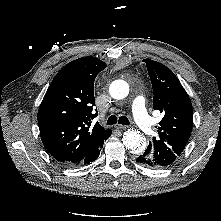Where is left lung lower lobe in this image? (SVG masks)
I'll return each instance as SVG.
<instances>
[{"mask_svg":"<svg viewBox=\"0 0 221 221\" xmlns=\"http://www.w3.org/2000/svg\"><path fill=\"white\" fill-rule=\"evenodd\" d=\"M137 162L140 164L150 167V168H164L162 166L157 165L151 156H148L147 154H143L137 157Z\"/></svg>","mask_w":221,"mask_h":221,"instance_id":"obj_1","label":"left lung lower lobe"}]
</instances>
